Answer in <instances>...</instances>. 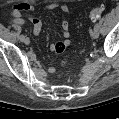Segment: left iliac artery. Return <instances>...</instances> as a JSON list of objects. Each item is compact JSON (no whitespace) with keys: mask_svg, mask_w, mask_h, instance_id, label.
Masks as SVG:
<instances>
[{"mask_svg":"<svg viewBox=\"0 0 119 119\" xmlns=\"http://www.w3.org/2000/svg\"><path fill=\"white\" fill-rule=\"evenodd\" d=\"M94 29H99V24H95Z\"/></svg>","mask_w":119,"mask_h":119,"instance_id":"obj_1","label":"left iliac artery"}]
</instances>
